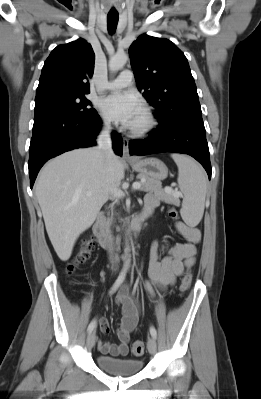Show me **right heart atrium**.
Segmentation results:
<instances>
[{"instance_id": "obj_1", "label": "right heart atrium", "mask_w": 261, "mask_h": 399, "mask_svg": "<svg viewBox=\"0 0 261 399\" xmlns=\"http://www.w3.org/2000/svg\"><path fill=\"white\" fill-rule=\"evenodd\" d=\"M102 125H103V127H104L105 129H110V127H111L110 122H109V120H107V119H104V120H103Z\"/></svg>"}]
</instances>
